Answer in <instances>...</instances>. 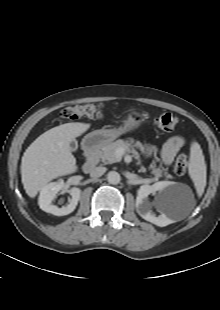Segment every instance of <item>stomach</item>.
<instances>
[{
    "label": "stomach",
    "instance_id": "1",
    "mask_svg": "<svg viewBox=\"0 0 220 310\" xmlns=\"http://www.w3.org/2000/svg\"><path fill=\"white\" fill-rule=\"evenodd\" d=\"M145 120L144 115L139 113H131L124 120L122 126L117 129H100L87 134L84 138L91 148L101 147L111 143L117 137L136 129Z\"/></svg>",
    "mask_w": 220,
    "mask_h": 310
}]
</instances>
